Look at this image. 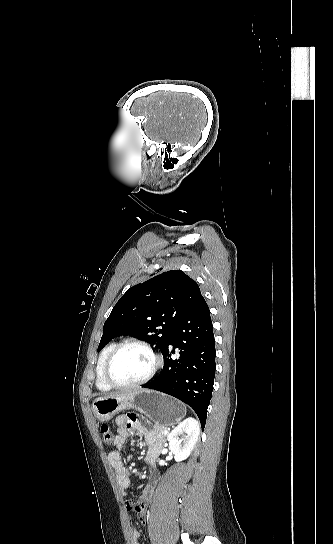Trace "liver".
<instances>
[{
  "label": "liver",
  "mask_w": 333,
  "mask_h": 544,
  "mask_svg": "<svg viewBox=\"0 0 333 544\" xmlns=\"http://www.w3.org/2000/svg\"><path fill=\"white\" fill-rule=\"evenodd\" d=\"M133 392V391H131ZM127 393H130V392H116V393H113V394H110V396H118V395H121V394H127Z\"/></svg>",
  "instance_id": "6515ba94"
}]
</instances>
